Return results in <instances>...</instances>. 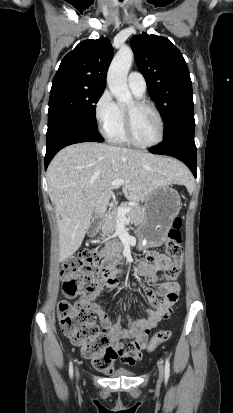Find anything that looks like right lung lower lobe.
Wrapping results in <instances>:
<instances>
[{
  "label": "right lung lower lobe",
  "mask_w": 233,
  "mask_h": 413,
  "mask_svg": "<svg viewBox=\"0 0 233 413\" xmlns=\"http://www.w3.org/2000/svg\"><path fill=\"white\" fill-rule=\"evenodd\" d=\"M46 139L45 169H47L55 154L68 145L80 142L103 141L97 130L69 120H58L48 125Z\"/></svg>",
  "instance_id": "98d812e1"
}]
</instances>
